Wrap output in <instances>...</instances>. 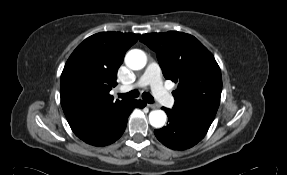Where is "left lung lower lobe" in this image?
Here are the masks:
<instances>
[{
  "instance_id": "0a47b994",
  "label": "left lung lower lobe",
  "mask_w": 287,
  "mask_h": 175,
  "mask_svg": "<svg viewBox=\"0 0 287 175\" xmlns=\"http://www.w3.org/2000/svg\"><path fill=\"white\" fill-rule=\"evenodd\" d=\"M169 123L154 131L157 139L173 150H185L201 141L205 134L186 123L181 117L165 107Z\"/></svg>"
}]
</instances>
